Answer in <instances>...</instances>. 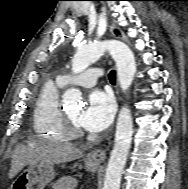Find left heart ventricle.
<instances>
[{
    "label": "left heart ventricle",
    "instance_id": "left-heart-ventricle-1",
    "mask_svg": "<svg viewBox=\"0 0 188 189\" xmlns=\"http://www.w3.org/2000/svg\"><path fill=\"white\" fill-rule=\"evenodd\" d=\"M80 109L77 108V109H72V110H69L67 111V114L69 115V117L78 125V117H79V114H80Z\"/></svg>",
    "mask_w": 188,
    "mask_h": 189
}]
</instances>
